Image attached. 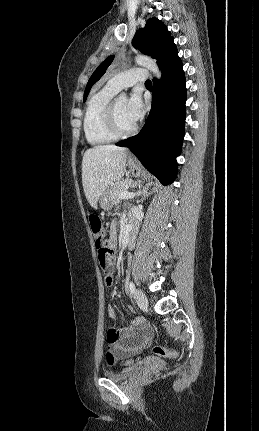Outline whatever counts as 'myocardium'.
Returning a JSON list of instances; mask_svg holds the SVG:
<instances>
[{"label":"myocardium","instance_id":"obj_1","mask_svg":"<svg viewBox=\"0 0 259 431\" xmlns=\"http://www.w3.org/2000/svg\"><path fill=\"white\" fill-rule=\"evenodd\" d=\"M115 101L116 98H112L105 109V124L108 131L116 138L127 137L134 134L137 131V126L134 124L130 129H122L117 121L115 112Z\"/></svg>","mask_w":259,"mask_h":431}]
</instances>
